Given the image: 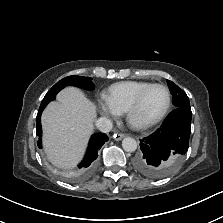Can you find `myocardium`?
Masks as SVG:
<instances>
[{
  "label": "myocardium",
  "instance_id": "obj_1",
  "mask_svg": "<svg viewBox=\"0 0 223 223\" xmlns=\"http://www.w3.org/2000/svg\"><path fill=\"white\" fill-rule=\"evenodd\" d=\"M156 87H160V88L164 89L167 94V102H166V105H165L163 111L153 120H150L147 122L134 121L133 115H134L135 111L138 109V107L140 106L143 98L151 89L156 88ZM170 106H171V94H170L169 89L163 84H159V83L151 84L150 86L143 89L135 97V99L132 101V103L129 105V107L125 111L126 120L129 123V125L132 126L133 128L138 129V130H145V129L151 128L154 125H156L157 123H159L168 113Z\"/></svg>",
  "mask_w": 223,
  "mask_h": 223
}]
</instances>
